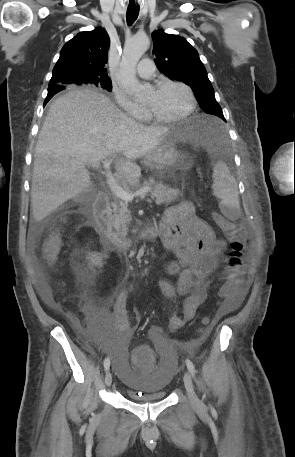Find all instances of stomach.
Instances as JSON below:
<instances>
[{"label": "stomach", "instance_id": "stomach-1", "mask_svg": "<svg viewBox=\"0 0 295 457\" xmlns=\"http://www.w3.org/2000/svg\"><path fill=\"white\" fill-rule=\"evenodd\" d=\"M210 127L199 116L188 119L182 126L163 137L162 142L149 154L144 163L153 170L173 173L183 167L179 145L202 144L208 140Z\"/></svg>", "mask_w": 295, "mask_h": 457}]
</instances>
